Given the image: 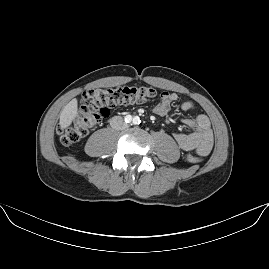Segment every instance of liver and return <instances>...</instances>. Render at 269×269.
I'll use <instances>...</instances> for the list:
<instances>
[{
	"instance_id": "obj_1",
	"label": "liver",
	"mask_w": 269,
	"mask_h": 269,
	"mask_svg": "<svg viewBox=\"0 0 269 269\" xmlns=\"http://www.w3.org/2000/svg\"><path fill=\"white\" fill-rule=\"evenodd\" d=\"M77 102L76 99H72L61 111L60 114V126L66 127L71 123L76 115Z\"/></svg>"
}]
</instances>
